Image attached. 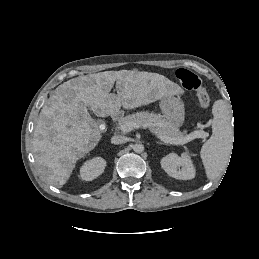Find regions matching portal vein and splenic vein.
I'll return each mask as SVG.
<instances>
[{"mask_svg":"<svg viewBox=\"0 0 259 259\" xmlns=\"http://www.w3.org/2000/svg\"><path fill=\"white\" fill-rule=\"evenodd\" d=\"M135 128H139V126L136 123L128 122L121 126V131L123 133H128ZM155 133L160 140H162L166 143H169V144H174V145L185 144V143L190 142L194 138H206L208 136V134L206 132L201 131V132L191 133L183 138L176 139V138H170L168 136L159 134L157 131H155Z\"/></svg>","mask_w":259,"mask_h":259,"instance_id":"1","label":"portal vein and splenic vein"}]
</instances>
